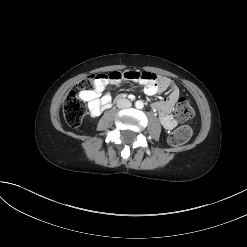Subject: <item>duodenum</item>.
Masks as SVG:
<instances>
[{
  "label": "duodenum",
  "mask_w": 247,
  "mask_h": 247,
  "mask_svg": "<svg viewBox=\"0 0 247 247\" xmlns=\"http://www.w3.org/2000/svg\"><path fill=\"white\" fill-rule=\"evenodd\" d=\"M124 96H125L124 94H122V95H117L114 102H118V99H119V98H124Z\"/></svg>",
  "instance_id": "410a0bca"
}]
</instances>
